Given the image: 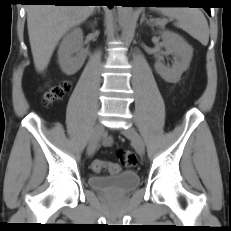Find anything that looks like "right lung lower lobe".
I'll return each instance as SVG.
<instances>
[{
  "label": "right lung lower lobe",
  "instance_id": "right-lung-lower-lobe-1",
  "mask_svg": "<svg viewBox=\"0 0 231 231\" xmlns=\"http://www.w3.org/2000/svg\"><path fill=\"white\" fill-rule=\"evenodd\" d=\"M25 2L28 3H51L54 5H77L76 2H71V1H76V0H24ZM110 8L113 6L111 4H108Z\"/></svg>",
  "mask_w": 231,
  "mask_h": 231
}]
</instances>
